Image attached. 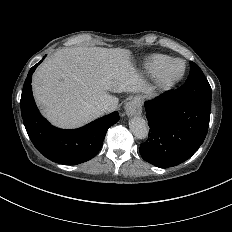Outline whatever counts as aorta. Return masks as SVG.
Segmentation results:
<instances>
[{
    "label": "aorta",
    "instance_id": "obj_1",
    "mask_svg": "<svg viewBox=\"0 0 232 232\" xmlns=\"http://www.w3.org/2000/svg\"><path fill=\"white\" fill-rule=\"evenodd\" d=\"M129 128L133 135L138 139H145L149 133V126L141 117H133L129 121Z\"/></svg>",
    "mask_w": 232,
    "mask_h": 232
}]
</instances>
